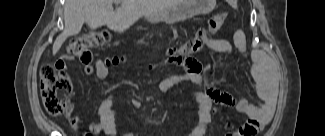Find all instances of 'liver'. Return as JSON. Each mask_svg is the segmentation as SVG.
Wrapping results in <instances>:
<instances>
[{
	"label": "liver",
	"instance_id": "6515ba94",
	"mask_svg": "<svg viewBox=\"0 0 325 136\" xmlns=\"http://www.w3.org/2000/svg\"><path fill=\"white\" fill-rule=\"evenodd\" d=\"M66 0L64 6V30L57 36L52 52L55 55L65 40L77 35L86 23L91 29L107 25L116 32H124L142 16H149L170 9L178 0Z\"/></svg>",
	"mask_w": 325,
	"mask_h": 136
}]
</instances>
